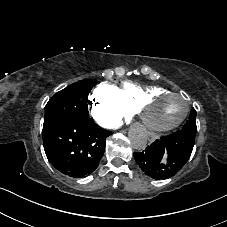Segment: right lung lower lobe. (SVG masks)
Wrapping results in <instances>:
<instances>
[{
    "label": "right lung lower lobe",
    "instance_id": "right-lung-lower-lobe-1",
    "mask_svg": "<svg viewBox=\"0 0 227 227\" xmlns=\"http://www.w3.org/2000/svg\"><path fill=\"white\" fill-rule=\"evenodd\" d=\"M112 134L89 117L62 121L43 131V145L49 162L74 178L91 174L104 154L106 138Z\"/></svg>",
    "mask_w": 227,
    "mask_h": 227
}]
</instances>
